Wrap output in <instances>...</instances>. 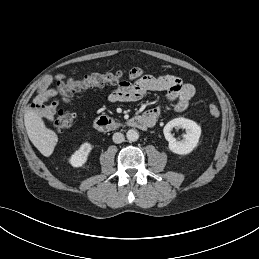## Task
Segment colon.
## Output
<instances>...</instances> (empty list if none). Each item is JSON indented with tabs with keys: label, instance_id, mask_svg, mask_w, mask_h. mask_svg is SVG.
I'll return each mask as SVG.
<instances>
[{
	"label": "colon",
	"instance_id": "5ec220e1",
	"mask_svg": "<svg viewBox=\"0 0 259 259\" xmlns=\"http://www.w3.org/2000/svg\"><path fill=\"white\" fill-rule=\"evenodd\" d=\"M124 77L125 73L123 71H117L114 73L91 74L79 79L62 80L58 82V95L63 102L68 103L70 98L80 90L106 84H120L123 82ZM208 111L212 117L220 115V111L215 105H210ZM54 125L60 132L67 131L74 125V115L69 112H61L58 114Z\"/></svg>",
	"mask_w": 259,
	"mask_h": 259
}]
</instances>
